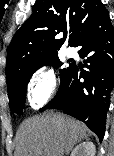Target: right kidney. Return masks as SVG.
<instances>
[{
  "label": "right kidney",
  "mask_w": 114,
  "mask_h": 156,
  "mask_svg": "<svg viewBox=\"0 0 114 156\" xmlns=\"http://www.w3.org/2000/svg\"><path fill=\"white\" fill-rule=\"evenodd\" d=\"M96 147L93 142L87 141L77 145L70 156H95Z\"/></svg>",
  "instance_id": "obj_1"
}]
</instances>
